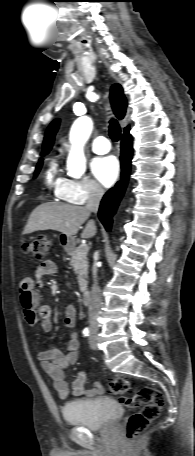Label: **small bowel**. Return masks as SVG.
I'll use <instances>...</instances> for the list:
<instances>
[{
	"instance_id": "c3829d8e",
	"label": "small bowel",
	"mask_w": 195,
	"mask_h": 456,
	"mask_svg": "<svg viewBox=\"0 0 195 456\" xmlns=\"http://www.w3.org/2000/svg\"><path fill=\"white\" fill-rule=\"evenodd\" d=\"M56 271L57 266L53 261H44L35 268L36 279L25 277L20 280L18 286L20 303L27 323L32 327L39 325L44 332H50L52 329L51 309L48 305L39 304V295L35 291V287L36 285L42 286L43 278L55 274ZM75 319V309L72 306H68L64 315L65 326L73 328ZM78 349V335L75 331H71L65 352L57 348H50L38 353V359L43 370L50 377L58 397L62 400L67 399L70 392L76 397H94L104 392L103 386L99 382H95L91 389L85 388L87 380L85 371L78 373L71 384L70 390L65 380L64 372L69 366L76 363Z\"/></svg>"
}]
</instances>
